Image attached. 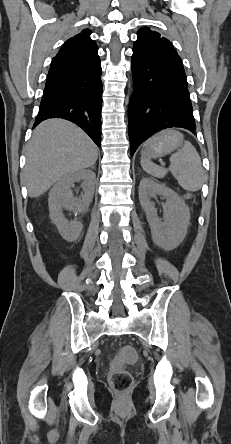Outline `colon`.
Listing matches in <instances>:
<instances>
[{"label": "colon", "instance_id": "5ec220e1", "mask_svg": "<svg viewBox=\"0 0 231 444\" xmlns=\"http://www.w3.org/2000/svg\"><path fill=\"white\" fill-rule=\"evenodd\" d=\"M136 359V351L130 345L121 346L113 358L109 371V381L115 391L121 394L127 393L132 385L133 378L125 369V365Z\"/></svg>", "mask_w": 231, "mask_h": 444}]
</instances>
